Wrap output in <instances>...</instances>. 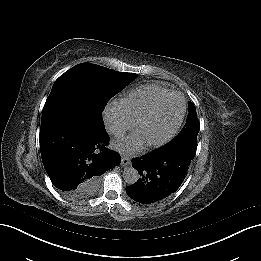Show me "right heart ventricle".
Masks as SVG:
<instances>
[{
    "instance_id": "right-heart-ventricle-1",
    "label": "right heart ventricle",
    "mask_w": 261,
    "mask_h": 261,
    "mask_svg": "<svg viewBox=\"0 0 261 261\" xmlns=\"http://www.w3.org/2000/svg\"><path fill=\"white\" fill-rule=\"evenodd\" d=\"M172 94L171 89L159 83H151L131 90L115 102V107L119 115L128 122L168 100Z\"/></svg>"
}]
</instances>
